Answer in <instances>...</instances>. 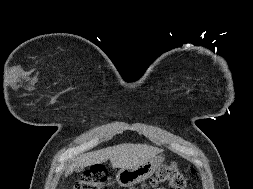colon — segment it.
Wrapping results in <instances>:
<instances>
[{
	"mask_svg": "<svg viewBox=\"0 0 253 189\" xmlns=\"http://www.w3.org/2000/svg\"><path fill=\"white\" fill-rule=\"evenodd\" d=\"M107 178L106 168L102 165H95L75 182L74 189H106ZM159 184H167L172 189L187 188L185 177L175 164L162 165L146 187H154Z\"/></svg>",
	"mask_w": 253,
	"mask_h": 189,
	"instance_id": "obj_1",
	"label": "colon"
}]
</instances>
